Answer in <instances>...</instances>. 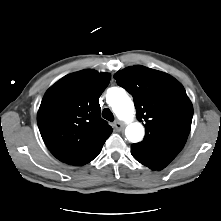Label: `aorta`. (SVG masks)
I'll use <instances>...</instances> for the list:
<instances>
[{
	"label": "aorta",
	"instance_id": "obj_1",
	"mask_svg": "<svg viewBox=\"0 0 221 221\" xmlns=\"http://www.w3.org/2000/svg\"><path fill=\"white\" fill-rule=\"evenodd\" d=\"M109 104L116 116L129 122L134 116V104L127 93L121 88H115L109 96ZM127 139L137 143L143 139L144 127L138 122L130 123L125 129Z\"/></svg>",
	"mask_w": 221,
	"mask_h": 221
}]
</instances>
